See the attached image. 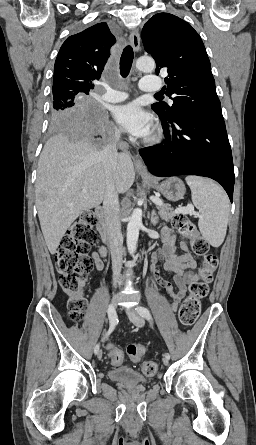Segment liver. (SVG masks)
Listing matches in <instances>:
<instances>
[{
	"mask_svg": "<svg viewBox=\"0 0 256 445\" xmlns=\"http://www.w3.org/2000/svg\"><path fill=\"white\" fill-rule=\"evenodd\" d=\"M102 151L87 138L74 141L62 134L44 145L35 194L41 230L51 254L56 253L66 230L79 215L104 200L107 175ZM111 179L118 193L127 192L133 185L135 171L128 154H118Z\"/></svg>",
	"mask_w": 256,
	"mask_h": 445,
	"instance_id": "liver-1",
	"label": "liver"
}]
</instances>
